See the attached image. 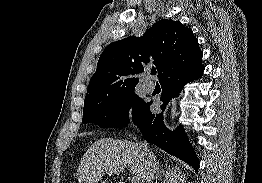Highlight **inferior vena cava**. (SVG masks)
Instances as JSON below:
<instances>
[{"label":"inferior vena cava","instance_id":"1","mask_svg":"<svg viewBox=\"0 0 262 183\" xmlns=\"http://www.w3.org/2000/svg\"><path fill=\"white\" fill-rule=\"evenodd\" d=\"M137 146L141 150L142 157L144 159L145 179L146 182L151 183L154 178V174L157 170L156 157L153 152L148 148L147 144L139 142Z\"/></svg>","mask_w":262,"mask_h":183}]
</instances>
